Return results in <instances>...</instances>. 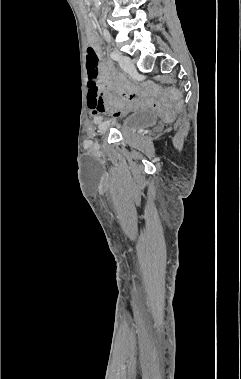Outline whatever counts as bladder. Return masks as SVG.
Listing matches in <instances>:
<instances>
[{
	"mask_svg": "<svg viewBox=\"0 0 241 379\" xmlns=\"http://www.w3.org/2000/svg\"><path fill=\"white\" fill-rule=\"evenodd\" d=\"M158 119L157 114L151 109L140 108L131 113L122 126V133L128 134L133 131L145 129L153 125Z\"/></svg>",
	"mask_w": 241,
	"mask_h": 379,
	"instance_id": "bladder-1",
	"label": "bladder"
}]
</instances>
